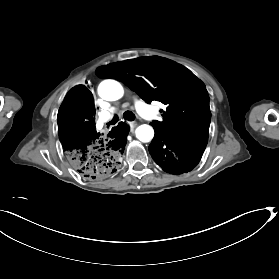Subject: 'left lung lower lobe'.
Segmentation results:
<instances>
[{
	"instance_id": "obj_1",
	"label": "left lung lower lobe",
	"mask_w": 279,
	"mask_h": 279,
	"mask_svg": "<svg viewBox=\"0 0 279 279\" xmlns=\"http://www.w3.org/2000/svg\"><path fill=\"white\" fill-rule=\"evenodd\" d=\"M207 140L177 137L155 129L149 152L165 172L179 175L191 171L199 163Z\"/></svg>"
}]
</instances>
